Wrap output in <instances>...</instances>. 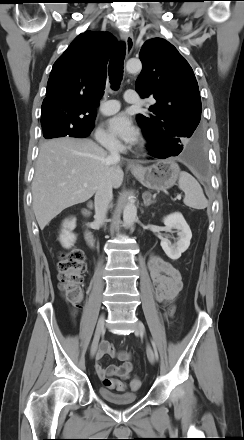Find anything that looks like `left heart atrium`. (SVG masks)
I'll list each match as a JSON object with an SVG mask.
<instances>
[{"mask_svg": "<svg viewBox=\"0 0 244 440\" xmlns=\"http://www.w3.org/2000/svg\"><path fill=\"white\" fill-rule=\"evenodd\" d=\"M110 132L126 143H135L138 138V130L133 121L125 113H119L108 122Z\"/></svg>", "mask_w": 244, "mask_h": 440, "instance_id": "obj_1", "label": "left heart atrium"}]
</instances>
